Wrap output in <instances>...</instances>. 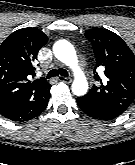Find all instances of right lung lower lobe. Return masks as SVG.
Listing matches in <instances>:
<instances>
[{"label":"right lung lower lobe","mask_w":135,"mask_h":165,"mask_svg":"<svg viewBox=\"0 0 135 165\" xmlns=\"http://www.w3.org/2000/svg\"><path fill=\"white\" fill-rule=\"evenodd\" d=\"M50 94L38 100H20L0 108V113L12 121H26L38 116L47 106Z\"/></svg>","instance_id":"98d812e1"}]
</instances>
